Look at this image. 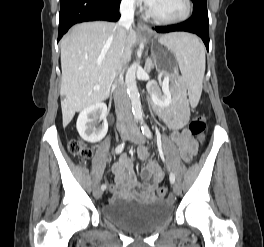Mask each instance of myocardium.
<instances>
[{"label": "myocardium", "instance_id": "f54148a6", "mask_svg": "<svg viewBox=\"0 0 264 247\" xmlns=\"http://www.w3.org/2000/svg\"><path fill=\"white\" fill-rule=\"evenodd\" d=\"M185 3V11L184 13L176 18H162L158 16L152 7L148 9V15L157 23L164 24V25H173V24H179L182 22L187 21L191 14H192V1L191 0H184Z\"/></svg>", "mask_w": 264, "mask_h": 247}]
</instances>
